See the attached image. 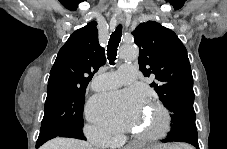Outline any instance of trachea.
I'll return each instance as SVG.
<instances>
[{
  "mask_svg": "<svg viewBox=\"0 0 227 149\" xmlns=\"http://www.w3.org/2000/svg\"><path fill=\"white\" fill-rule=\"evenodd\" d=\"M122 36V25H118L115 31L111 34L108 46H107V56L110 64H114L117 56V49L121 41Z\"/></svg>",
  "mask_w": 227,
  "mask_h": 149,
  "instance_id": "trachea-1",
  "label": "trachea"
}]
</instances>
